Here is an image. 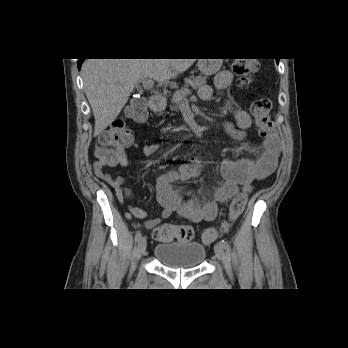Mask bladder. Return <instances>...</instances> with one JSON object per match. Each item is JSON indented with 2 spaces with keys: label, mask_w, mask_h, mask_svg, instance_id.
<instances>
[{
  "label": "bladder",
  "mask_w": 348,
  "mask_h": 348,
  "mask_svg": "<svg viewBox=\"0 0 348 348\" xmlns=\"http://www.w3.org/2000/svg\"><path fill=\"white\" fill-rule=\"evenodd\" d=\"M206 249L198 242L172 241L158 244L154 257L163 265L173 269H186L202 264Z\"/></svg>",
  "instance_id": "1"
}]
</instances>
